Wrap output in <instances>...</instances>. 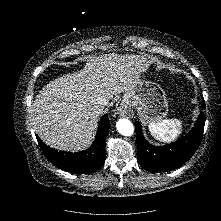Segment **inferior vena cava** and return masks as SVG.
<instances>
[{"instance_id":"inferior-vena-cava-1","label":"inferior vena cava","mask_w":221,"mask_h":221,"mask_svg":"<svg viewBox=\"0 0 221 221\" xmlns=\"http://www.w3.org/2000/svg\"><path fill=\"white\" fill-rule=\"evenodd\" d=\"M97 103L101 106H106L108 104V101L102 97L97 98Z\"/></svg>"}]
</instances>
